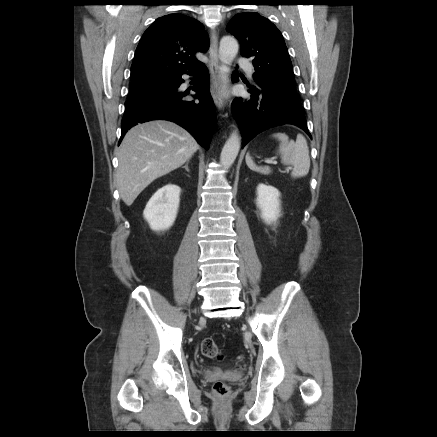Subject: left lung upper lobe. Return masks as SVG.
<instances>
[{"mask_svg": "<svg viewBox=\"0 0 437 437\" xmlns=\"http://www.w3.org/2000/svg\"><path fill=\"white\" fill-rule=\"evenodd\" d=\"M226 29L240 41L241 55L253 58V77L258 85L298 98L283 36L269 19L244 12L235 15Z\"/></svg>", "mask_w": 437, "mask_h": 437, "instance_id": "5c2ea615", "label": "left lung upper lobe"}]
</instances>
